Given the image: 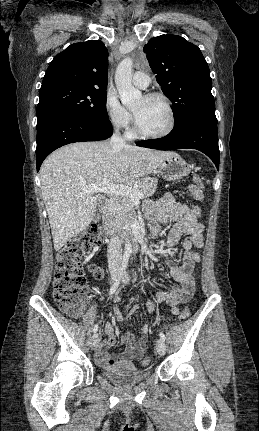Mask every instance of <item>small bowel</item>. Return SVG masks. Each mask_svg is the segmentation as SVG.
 I'll return each mask as SVG.
<instances>
[{
	"instance_id": "c3829d8e",
	"label": "small bowel",
	"mask_w": 259,
	"mask_h": 431,
	"mask_svg": "<svg viewBox=\"0 0 259 431\" xmlns=\"http://www.w3.org/2000/svg\"><path fill=\"white\" fill-rule=\"evenodd\" d=\"M148 222L153 234L157 233L162 225L173 223L172 229L165 243L166 248L174 247L182 235L187 238L182 242L181 263L177 265L173 261L166 264L170 270L171 277L178 283L170 290L159 291L156 298L148 302L147 307L152 308L154 304L166 302L171 307L173 315L179 313L178 305L191 299L195 289L196 272L195 266L200 262V255L194 248H200L204 244V227L191 217V208L184 203L178 202L174 197L166 193L157 200L154 206L148 208ZM158 261L157 257H153ZM113 312L117 314L114 309ZM107 339L99 344L97 361L104 367H112L117 364H131L138 361L144 354L147 335L150 327L145 325L141 328V336L138 339L130 333L121 336V344L124 349L117 355L111 354L109 348L117 342L114 326L111 322L105 326Z\"/></svg>"
}]
</instances>
